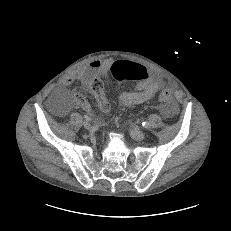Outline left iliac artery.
<instances>
[{"instance_id": "obj_1", "label": "left iliac artery", "mask_w": 231, "mask_h": 231, "mask_svg": "<svg viewBox=\"0 0 231 231\" xmlns=\"http://www.w3.org/2000/svg\"><path fill=\"white\" fill-rule=\"evenodd\" d=\"M142 126H143L144 128H149V127H150V123H149L148 121H144V122L142 123Z\"/></svg>"}]
</instances>
